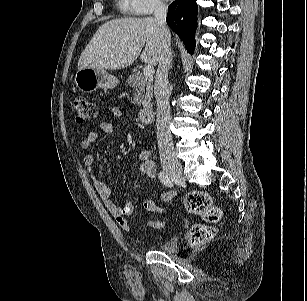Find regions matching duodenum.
<instances>
[{"mask_svg": "<svg viewBox=\"0 0 307 301\" xmlns=\"http://www.w3.org/2000/svg\"><path fill=\"white\" fill-rule=\"evenodd\" d=\"M154 117V107L150 104L144 105L139 110V120L142 124H150Z\"/></svg>", "mask_w": 307, "mask_h": 301, "instance_id": "obj_1", "label": "duodenum"}]
</instances>
